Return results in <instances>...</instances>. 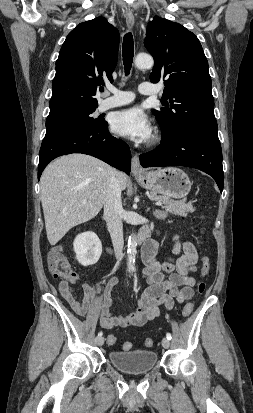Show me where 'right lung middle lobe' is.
Wrapping results in <instances>:
<instances>
[{
	"instance_id": "obj_1",
	"label": "right lung middle lobe",
	"mask_w": 253,
	"mask_h": 413,
	"mask_svg": "<svg viewBox=\"0 0 253 413\" xmlns=\"http://www.w3.org/2000/svg\"><path fill=\"white\" fill-rule=\"evenodd\" d=\"M96 107L72 110L48 116L46 120V135L74 130H94L101 128L105 121L92 117Z\"/></svg>"
}]
</instances>
